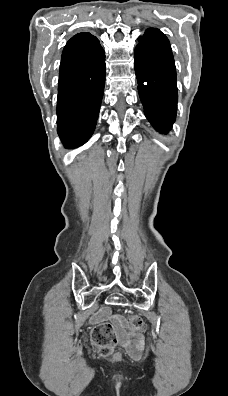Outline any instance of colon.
Returning <instances> with one entry per match:
<instances>
[{
	"instance_id": "5ec220e1",
	"label": "colon",
	"mask_w": 228,
	"mask_h": 396,
	"mask_svg": "<svg viewBox=\"0 0 228 396\" xmlns=\"http://www.w3.org/2000/svg\"><path fill=\"white\" fill-rule=\"evenodd\" d=\"M125 327L128 335L132 337L142 329L143 321L137 315H129L125 320ZM91 341L101 354L110 353L118 341L114 326L108 322L99 324L91 333Z\"/></svg>"
}]
</instances>
